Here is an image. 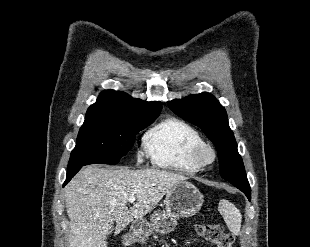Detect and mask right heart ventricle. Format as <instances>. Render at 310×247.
<instances>
[{
  "label": "right heart ventricle",
  "mask_w": 310,
  "mask_h": 247,
  "mask_svg": "<svg viewBox=\"0 0 310 247\" xmlns=\"http://www.w3.org/2000/svg\"><path fill=\"white\" fill-rule=\"evenodd\" d=\"M201 142L193 126L175 117L161 120L143 137L144 149L155 166L183 173L200 169L191 160V150Z\"/></svg>",
  "instance_id": "e07e8e85"
}]
</instances>
